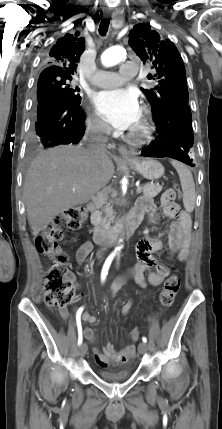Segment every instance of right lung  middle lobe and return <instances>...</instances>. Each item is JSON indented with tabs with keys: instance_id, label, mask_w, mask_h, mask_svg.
Segmentation results:
<instances>
[{
	"instance_id": "1",
	"label": "right lung middle lobe",
	"mask_w": 222,
	"mask_h": 429,
	"mask_svg": "<svg viewBox=\"0 0 222 429\" xmlns=\"http://www.w3.org/2000/svg\"><path fill=\"white\" fill-rule=\"evenodd\" d=\"M72 80V76H51V75H43L39 76L37 83V92L36 99L39 101L42 96L51 90H58L63 92L66 96H68L73 101L81 102V96L77 94L80 91L79 87H73L70 85V81Z\"/></svg>"
}]
</instances>
